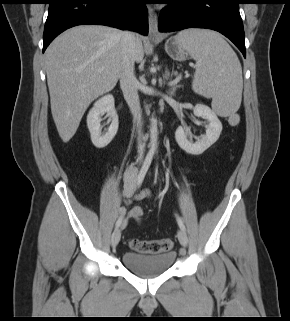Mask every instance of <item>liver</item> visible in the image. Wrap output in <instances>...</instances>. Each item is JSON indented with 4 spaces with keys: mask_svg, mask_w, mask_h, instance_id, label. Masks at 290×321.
I'll list each match as a JSON object with an SVG mask.
<instances>
[{
    "mask_svg": "<svg viewBox=\"0 0 290 321\" xmlns=\"http://www.w3.org/2000/svg\"><path fill=\"white\" fill-rule=\"evenodd\" d=\"M122 31L103 25H80L60 34L45 52L52 117L62 141L76 133L93 100L111 91L122 71ZM144 57L136 37L134 60Z\"/></svg>",
    "mask_w": 290,
    "mask_h": 321,
    "instance_id": "1",
    "label": "liver"
}]
</instances>
